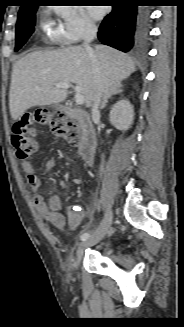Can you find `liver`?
<instances>
[{
  "instance_id": "liver-1",
  "label": "liver",
  "mask_w": 184,
  "mask_h": 327,
  "mask_svg": "<svg viewBox=\"0 0 184 327\" xmlns=\"http://www.w3.org/2000/svg\"><path fill=\"white\" fill-rule=\"evenodd\" d=\"M94 56L103 91L121 84L136 71L133 59L116 49L96 45ZM92 61L81 46L53 51H35L20 58L14 65L9 92V108L13 120L35 106L58 104L67 97V89L55 84L73 82L81 90L90 107L94 99Z\"/></svg>"
}]
</instances>
